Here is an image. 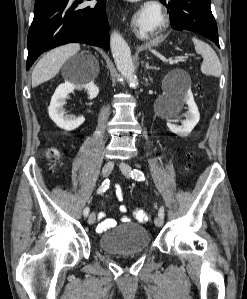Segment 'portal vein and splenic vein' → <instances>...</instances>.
<instances>
[{"mask_svg":"<svg viewBox=\"0 0 247 299\" xmlns=\"http://www.w3.org/2000/svg\"><path fill=\"white\" fill-rule=\"evenodd\" d=\"M179 61H180V59H179V58L170 59V60H169V64L178 63Z\"/></svg>","mask_w":247,"mask_h":299,"instance_id":"18ae733b","label":"portal vein and splenic vein"}]
</instances>
